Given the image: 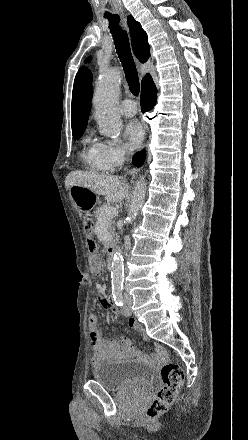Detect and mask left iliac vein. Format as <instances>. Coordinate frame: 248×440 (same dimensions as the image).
Returning <instances> with one entry per match:
<instances>
[{
	"label": "left iliac vein",
	"instance_id": "4c4485c4",
	"mask_svg": "<svg viewBox=\"0 0 248 440\" xmlns=\"http://www.w3.org/2000/svg\"><path fill=\"white\" fill-rule=\"evenodd\" d=\"M131 304H132L131 298L127 297L125 299L124 306L121 309V312H122L123 315H125V316H130L131 315V313H132V311H131Z\"/></svg>",
	"mask_w": 248,
	"mask_h": 440
}]
</instances>
